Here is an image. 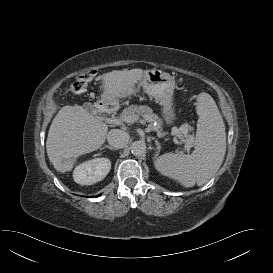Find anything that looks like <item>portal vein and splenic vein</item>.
<instances>
[{
	"label": "portal vein and splenic vein",
	"instance_id": "obj_1",
	"mask_svg": "<svg viewBox=\"0 0 273 273\" xmlns=\"http://www.w3.org/2000/svg\"><path fill=\"white\" fill-rule=\"evenodd\" d=\"M137 119H138V117H134V116L127 117L125 119H121V118H109L108 119V123L113 124V125H120L122 122L133 123V122L137 121ZM190 147H191V145L189 143H187L185 145V148L187 150H190Z\"/></svg>",
	"mask_w": 273,
	"mask_h": 273
}]
</instances>
